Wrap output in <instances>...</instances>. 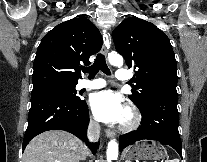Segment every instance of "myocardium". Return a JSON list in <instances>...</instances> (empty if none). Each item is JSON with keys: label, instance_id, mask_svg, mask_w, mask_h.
Instances as JSON below:
<instances>
[{"label": "myocardium", "instance_id": "f54148a6", "mask_svg": "<svg viewBox=\"0 0 207 162\" xmlns=\"http://www.w3.org/2000/svg\"><path fill=\"white\" fill-rule=\"evenodd\" d=\"M126 112L127 119L121 121L119 125V129L123 132H129L136 129L141 121V114L135 105L129 104L126 106Z\"/></svg>", "mask_w": 207, "mask_h": 162}]
</instances>
